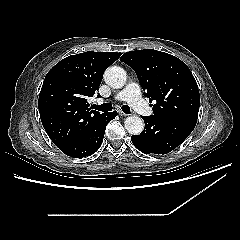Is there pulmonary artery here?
Masks as SVG:
<instances>
[{
	"instance_id": "e3ab8cb5",
	"label": "pulmonary artery",
	"mask_w": 240,
	"mask_h": 240,
	"mask_svg": "<svg viewBox=\"0 0 240 240\" xmlns=\"http://www.w3.org/2000/svg\"><path fill=\"white\" fill-rule=\"evenodd\" d=\"M116 100L128 102L134 110L145 116H149L152 114V110L141 98L140 87L137 83L128 84L122 91H120L116 95ZM97 101L103 102L102 99H98Z\"/></svg>"
}]
</instances>
